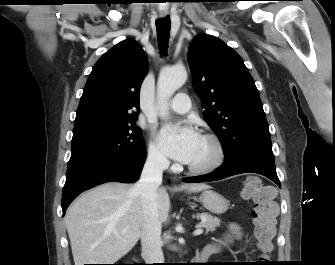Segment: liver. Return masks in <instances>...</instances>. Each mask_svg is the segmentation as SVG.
Instances as JSON below:
<instances>
[{"label": "liver", "instance_id": "obj_1", "mask_svg": "<svg viewBox=\"0 0 335 265\" xmlns=\"http://www.w3.org/2000/svg\"><path fill=\"white\" fill-rule=\"evenodd\" d=\"M133 185L105 183L82 194L67 210L65 223L75 265L114 264L141 237L143 206ZM206 184H184L181 190L200 192ZM158 218H169L170 198L157 189Z\"/></svg>", "mask_w": 335, "mask_h": 265}]
</instances>
